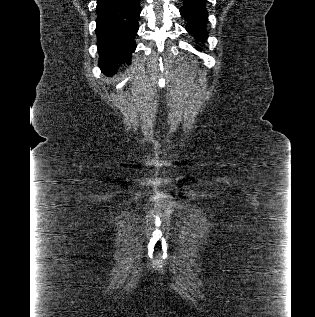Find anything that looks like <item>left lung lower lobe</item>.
Returning a JSON list of instances; mask_svg holds the SVG:
<instances>
[{
  "instance_id": "obj_1",
  "label": "left lung lower lobe",
  "mask_w": 315,
  "mask_h": 317,
  "mask_svg": "<svg viewBox=\"0 0 315 317\" xmlns=\"http://www.w3.org/2000/svg\"><path fill=\"white\" fill-rule=\"evenodd\" d=\"M205 4L206 0H183V6L180 8L181 15L187 21L185 28L197 42H204L208 37L206 31L208 12Z\"/></svg>"
}]
</instances>
